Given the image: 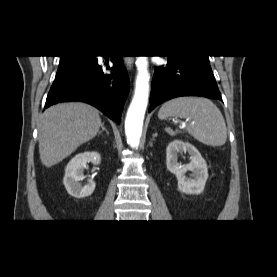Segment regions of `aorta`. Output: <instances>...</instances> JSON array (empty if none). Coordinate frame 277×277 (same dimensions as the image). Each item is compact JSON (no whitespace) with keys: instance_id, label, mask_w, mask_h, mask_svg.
<instances>
[{"instance_id":"aorta-1","label":"aorta","mask_w":277,"mask_h":277,"mask_svg":"<svg viewBox=\"0 0 277 277\" xmlns=\"http://www.w3.org/2000/svg\"><path fill=\"white\" fill-rule=\"evenodd\" d=\"M137 76L133 99L125 119V134L132 148H137L142 135L143 121L149 97V79L147 56L136 59Z\"/></svg>"}]
</instances>
